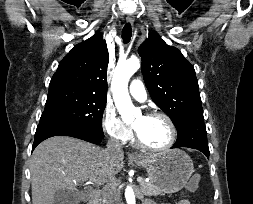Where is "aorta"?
Here are the masks:
<instances>
[{"label": "aorta", "instance_id": "762f6f07", "mask_svg": "<svg viewBox=\"0 0 253 204\" xmlns=\"http://www.w3.org/2000/svg\"><path fill=\"white\" fill-rule=\"evenodd\" d=\"M140 68V60L132 57L122 63H118L111 82L113 99L118 112L124 122H131L140 115V110L134 107L129 92L128 82L131 76ZM127 204H135L134 191L130 186L125 189Z\"/></svg>", "mask_w": 253, "mask_h": 204}]
</instances>
